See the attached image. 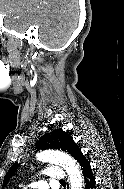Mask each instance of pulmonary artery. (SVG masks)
Instances as JSON below:
<instances>
[{
    "mask_svg": "<svg viewBox=\"0 0 124 189\" xmlns=\"http://www.w3.org/2000/svg\"><path fill=\"white\" fill-rule=\"evenodd\" d=\"M44 174L53 181H60L65 177V174L60 167H50L44 171Z\"/></svg>",
    "mask_w": 124,
    "mask_h": 189,
    "instance_id": "obj_1",
    "label": "pulmonary artery"
}]
</instances>
